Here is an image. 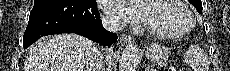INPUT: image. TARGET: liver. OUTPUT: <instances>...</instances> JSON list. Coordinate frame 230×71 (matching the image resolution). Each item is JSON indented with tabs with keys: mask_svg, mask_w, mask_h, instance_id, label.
<instances>
[{
	"mask_svg": "<svg viewBox=\"0 0 230 71\" xmlns=\"http://www.w3.org/2000/svg\"><path fill=\"white\" fill-rule=\"evenodd\" d=\"M93 43L76 34H59L33 45L25 60L24 71H84Z\"/></svg>",
	"mask_w": 230,
	"mask_h": 71,
	"instance_id": "6515ba94",
	"label": "liver"
}]
</instances>
